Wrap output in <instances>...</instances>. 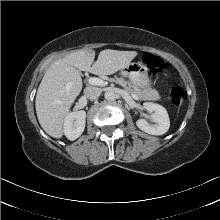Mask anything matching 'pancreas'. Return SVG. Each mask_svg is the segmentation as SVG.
<instances>
[{
  "label": "pancreas",
  "mask_w": 220,
  "mask_h": 220,
  "mask_svg": "<svg viewBox=\"0 0 220 220\" xmlns=\"http://www.w3.org/2000/svg\"><path fill=\"white\" fill-rule=\"evenodd\" d=\"M112 82H115L116 84L121 85L124 87L128 92L133 93L137 95V97L141 100H160V96L157 91H147V90H141L138 87L130 84L129 82L125 81L123 78L115 77L111 79Z\"/></svg>",
  "instance_id": "1"
}]
</instances>
